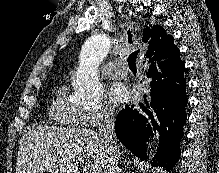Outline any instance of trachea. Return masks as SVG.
Masks as SVG:
<instances>
[{
	"instance_id": "obj_1",
	"label": "trachea",
	"mask_w": 219,
	"mask_h": 173,
	"mask_svg": "<svg viewBox=\"0 0 219 173\" xmlns=\"http://www.w3.org/2000/svg\"><path fill=\"white\" fill-rule=\"evenodd\" d=\"M127 34H128V42L132 43V34H131L130 30L127 32ZM138 53H139V51H135L129 55L128 65H129L130 69H136V59H137Z\"/></svg>"
}]
</instances>
